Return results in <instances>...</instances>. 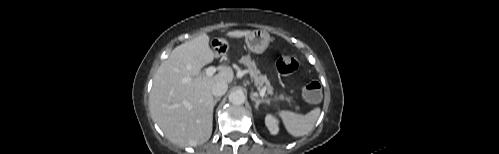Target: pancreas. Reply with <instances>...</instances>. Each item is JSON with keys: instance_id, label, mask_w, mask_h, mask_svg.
Segmentation results:
<instances>
[{"instance_id": "pancreas-1", "label": "pancreas", "mask_w": 499, "mask_h": 154, "mask_svg": "<svg viewBox=\"0 0 499 154\" xmlns=\"http://www.w3.org/2000/svg\"><path fill=\"white\" fill-rule=\"evenodd\" d=\"M240 63L244 64L247 67L248 73L250 74L251 78L254 79L256 85H258L259 87L266 86L267 93L273 94V88L270 85L269 80L265 75L260 74V71L257 69L255 62L251 59L249 55L242 57L240 59ZM276 98L279 100L285 99L288 103L292 101L290 97H287L284 94H280ZM295 108L298 110L299 106H296Z\"/></svg>"}]
</instances>
